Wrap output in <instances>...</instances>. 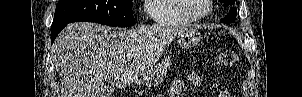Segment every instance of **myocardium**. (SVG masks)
<instances>
[{
  "label": "myocardium",
  "mask_w": 302,
  "mask_h": 97,
  "mask_svg": "<svg viewBox=\"0 0 302 97\" xmlns=\"http://www.w3.org/2000/svg\"><path fill=\"white\" fill-rule=\"evenodd\" d=\"M207 4V10L201 14V15H192L188 13L184 7L183 0H176V6L178 11L188 20L190 21H199L207 17L213 9V1L212 0H206Z\"/></svg>",
  "instance_id": "f54148a6"
}]
</instances>
